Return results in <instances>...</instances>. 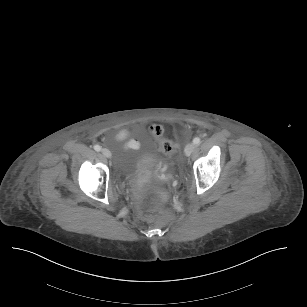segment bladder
Listing matches in <instances>:
<instances>
[{"mask_svg": "<svg viewBox=\"0 0 307 307\" xmlns=\"http://www.w3.org/2000/svg\"><path fill=\"white\" fill-rule=\"evenodd\" d=\"M157 158L153 151L140 146L129 148L121 159V169L127 175H134Z\"/></svg>", "mask_w": 307, "mask_h": 307, "instance_id": "bladder-1", "label": "bladder"}]
</instances>
